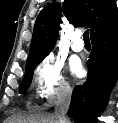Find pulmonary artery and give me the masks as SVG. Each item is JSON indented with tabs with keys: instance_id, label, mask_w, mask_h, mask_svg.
<instances>
[{
	"instance_id": "e3ab8cb5",
	"label": "pulmonary artery",
	"mask_w": 118,
	"mask_h": 123,
	"mask_svg": "<svg viewBox=\"0 0 118 123\" xmlns=\"http://www.w3.org/2000/svg\"><path fill=\"white\" fill-rule=\"evenodd\" d=\"M71 49L75 52H81L84 49V43L81 40L80 32H76L71 41Z\"/></svg>"
}]
</instances>
